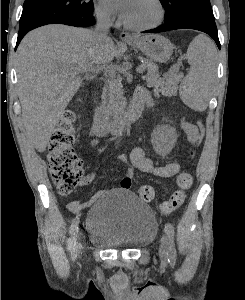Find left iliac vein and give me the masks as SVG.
Segmentation results:
<instances>
[{
  "mask_svg": "<svg viewBox=\"0 0 245 300\" xmlns=\"http://www.w3.org/2000/svg\"><path fill=\"white\" fill-rule=\"evenodd\" d=\"M168 252H169V242L166 235H162L160 246H159V256L162 261H166L168 258Z\"/></svg>",
  "mask_w": 245,
  "mask_h": 300,
  "instance_id": "4c4485c4",
  "label": "left iliac vein"
}]
</instances>
